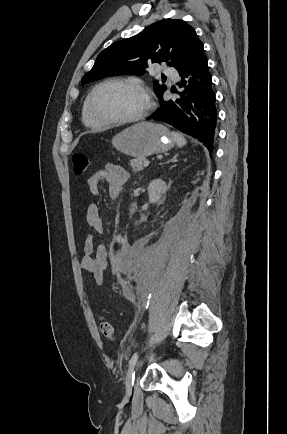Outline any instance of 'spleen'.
<instances>
[{"label":"spleen","mask_w":287,"mask_h":434,"mask_svg":"<svg viewBox=\"0 0 287 434\" xmlns=\"http://www.w3.org/2000/svg\"><path fill=\"white\" fill-rule=\"evenodd\" d=\"M171 134H172L178 147H183L187 144L186 139L183 137V135L181 133L172 132Z\"/></svg>","instance_id":"1"}]
</instances>
